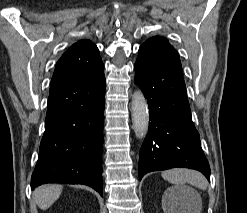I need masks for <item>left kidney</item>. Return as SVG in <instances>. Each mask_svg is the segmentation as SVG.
Segmentation results:
<instances>
[{
	"label": "left kidney",
	"mask_w": 247,
	"mask_h": 213,
	"mask_svg": "<svg viewBox=\"0 0 247 213\" xmlns=\"http://www.w3.org/2000/svg\"><path fill=\"white\" fill-rule=\"evenodd\" d=\"M171 194H172V193H171ZM171 194H170V195H171ZM170 195H168V194L165 193L164 198H167V197L170 198ZM174 199H176V197H173V198H172V200H174ZM166 213H167V212H166Z\"/></svg>",
	"instance_id": "5707ae66"
}]
</instances>
